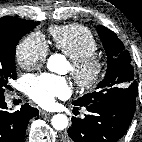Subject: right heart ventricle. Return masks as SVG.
I'll list each match as a JSON object with an SVG mask.
<instances>
[{"label":"right heart ventricle","instance_id":"e07e8e85","mask_svg":"<svg viewBox=\"0 0 142 142\" xmlns=\"http://www.w3.org/2000/svg\"><path fill=\"white\" fill-rule=\"evenodd\" d=\"M54 48L70 59L96 53L98 42L92 32L80 24L53 26L49 30Z\"/></svg>","mask_w":142,"mask_h":142}]
</instances>
